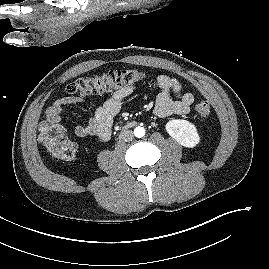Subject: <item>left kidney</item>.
<instances>
[{
    "instance_id": "left-kidney-1",
    "label": "left kidney",
    "mask_w": 269,
    "mask_h": 269,
    "mask_svg": "<svg viewBox=\"0 0 269 269\" xmlns=\"http://www.w3.org/2000/svg\"><path fill=\"white\" fill-rule=\"evenodd\" d=\"M165 127L167 133L184 147L193 148L200 142L195 125L187 120H170Z\"/></svg>"
}]
</instances>
